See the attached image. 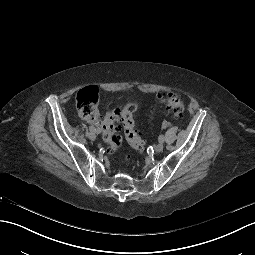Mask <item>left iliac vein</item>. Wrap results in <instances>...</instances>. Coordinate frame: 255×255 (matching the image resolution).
I'll use <instances>...</instances> for the list:
<instances>
[{"label": "left iliac vein", "instance_id": "obj_1", "mask_svg": "<svg viewBox=\"0 0 255 255\" xmlns=\"http://www.w3.org/2000/svg\"><path fill=\"white\" fill-rule=\"evenodd\" d=\"M163 148H164L163 143H159V144L156 145V147H155V152H156V153H160V152L163 151Z\"/></svg>", "mask_w": 255, "mask_h": 255}]
</instances>
